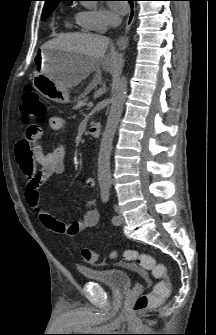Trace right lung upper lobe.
Masks as SVG:
<instances>
[{
	"label": "right lung upper lobe",
	"mask_w": 216,
	"mask_h": 335,
	"mask_svg": "<svg viewBox=\"0 0 216 335\" xmlns=\"http://www.w3.org/2000/svg\"><path fill=\"white\" fill-rule=\"evenodd\" d=\"M44 1H45L44 6H47V5H52V4H58L62 0H44Z\"/></svg>",
	"instance_id": "obj_1"
}]
</instances>
